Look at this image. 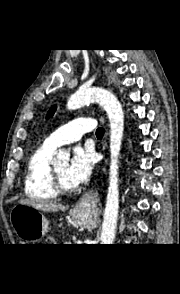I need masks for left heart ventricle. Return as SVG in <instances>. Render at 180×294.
I'll use <instances>...</instances> for the list:
<instances>
[{"label":"left heart ventricle","mask_w":180,"mask_h":294,"mask_svg":"<svg viewBox=\"0 0 180 294\" xmlns=\"http://www.w3.org/2000/svg\"><path fill=\"white\" fill-rule=\"evenodd\" d=\"M56 171L58 175L60 176L63 184L67 188H74V186L69 182L67 179V168H68V163L67 162H60L55 165Z\"/></svg>","instance_id":"left-heart-ventricle-1"}]
</instances>
